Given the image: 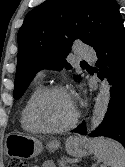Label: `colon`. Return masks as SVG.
I'll use <instances>...</instances> for the list:
<instances>
[{"label":"colon","instance_id":"obj_1","mask_svg":"<svg viewBox=\"0 0 125 167\" xmlns=\"http://www.w3.org/2000/svg\"><path fill=\"white\" fill-rule=\"evenodd\" d=\"M8 167H29V164L23 160L11 159L8 163Z\"/></svg>","mask_w":125,"mask_h":167}]
</instances>
